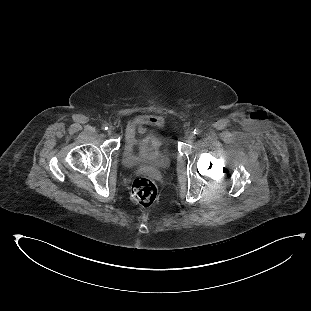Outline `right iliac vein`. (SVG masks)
I'll use <instances>...</instances> for the list:
<instances>
[{
    "mask_svg": "<svg viewBox=\"0 0 311 311\" xmlns=\"http://www.w3.org/2000/svg\"><path fill=\"white\" fill-rule=\"evenodd\" d=\"M107 134H108V135H111V134H112V129H111V128H109V129L107 130Z\"/></svg>",
    "mask_w": 311,
    "mask_h": 311,
    "instance_id": "63e3f726",
    "label": "right iliac vein"
}]
</instances>
